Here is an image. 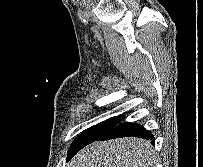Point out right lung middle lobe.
Here are the masks:
<instances>
[{"instance_id":"right-lung-middle-lobe-1","label":"right lung middle lobe","mask_w":203,"mask_h":167,"mask_svg":"<svg viewBox=\"0 0 203 167\" xmlns=\"http://www.w3.org/2000/svg\"><path fill=\"white\" fill-rule=\"evenodd\" d=\"M124 115L111 117L97 125L92 126L87 131H84L72 144L68 151V155H75L80 149L86 146L91 141L105 135L113 127H115L122 119Z\"/></svg>"}]
</instances>
